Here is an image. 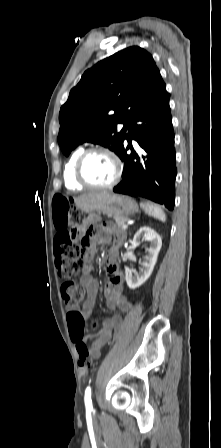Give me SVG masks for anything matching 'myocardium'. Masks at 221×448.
<instances>
[{
    "mask_svg": "<svg viewBox=\"0 0 221 448\" xmlns=\"http://www.w3.org/2000/svg\"><path fill=\"white\" fill-rule=\"evenodd\" d=\"M105 154L107 156H109L113 163H114V167H115V175L113 177V179L105 185H96V184H92L91 182H89L87 180V178L84 176L83 173V167L84 164L86 162V160L93 154ZM123 174V164L121 159L119 158V156L112 151L109 148L106 147H94V148H90L87 149L85 151L82 152V154L78 157L75 166H74V178L75 180L81 184L84 187L87 188H93V189H110L115 187L119 181L121 180Z\"/></svg>",
    "mask_w": 221,
    "mask_h": 448,
    "instance_id": "f54148a6",
    "label": "myocardium"
}]
</instances>
